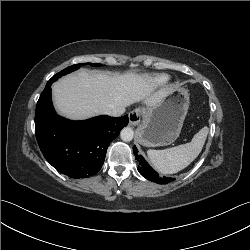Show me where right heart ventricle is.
Wrapping results in <instances>:
<instances>
[{
	"label": "right heart ventricle",
	"mask_w": 250,
	"mask_h": 250,
	"mask_svg": "<svg viewBox=\"0 0 250 250\" xmlns=\"http://www.w3.org/2000/svg\"><path fill=\"white\" fill-rule=\"evenodd\" d=\"M168 80H169V77L165 74H158L150 78V81L156 86L163 85L167 83Z\"/></svg>",
	"instance_id": "obj_1"
}]
</instances>
